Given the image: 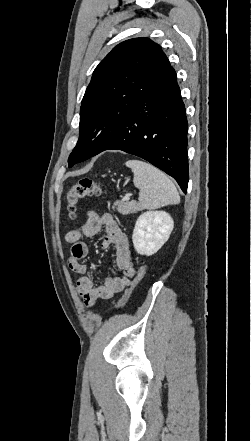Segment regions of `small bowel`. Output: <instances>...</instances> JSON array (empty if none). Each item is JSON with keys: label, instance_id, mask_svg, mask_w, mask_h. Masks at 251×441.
<instances>
[{"label": "small bowel", "instance_id": "obj_1", "mask_svg": "<svg viewBox=\"0 0 251 441\" xmlns=\"http://www.w3.org/2000/svg\"><path fill=\"white\" fill-rule=\"evenodd\" d=\"M102 228L105 229L102 247L114 248L116 269L120 275L107 277L103 283L95 284L93 278L87 274L88 266L83 262L89 254V247L83 239L95 236ZM65 240L71 244L68 267L80 275L76 286L86 307H92L98 300L110 299L127 287L129 279L134 274L130 243L127 235L110 213L99 215L95 211L88 210L85 222L80 228L68 231Z\"/></svg>", "mask_w": 251, "mask_h": 441}]
</instances>
